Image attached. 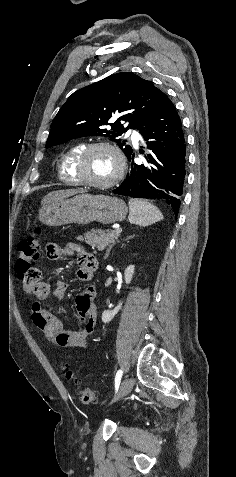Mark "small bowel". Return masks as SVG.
I'll return each instance as SVG.
<instances>
[{"label":"small bowel","instance_id":"1","mask_svg":"<svg viewBox=\"0 0 236 477\" xmlns=\"http://www.w3.org/2000/svg\"><path fill=\"white\" fill-rule=\"evenodd\" d=\"M47 256L51 260L75 256L78 262L76 276L80 281H90L94 275L97 260L79 243L69 242L65 246L54 242L49 243ZM67 289V282L61 279L55 282L52 290L48 283L41 281L36 291L30 293L34 297L31 304V318L37 329L56 348H86L96 326L95 287L91 285L77 295L75 306L79 317V327L73 330L65 329L61 321L46 307V301L50 295L56 301H61ZM26 291L28 292L27 289Z\"/></svg>","mask_w":236,"mask_h":477}]
</instances>
